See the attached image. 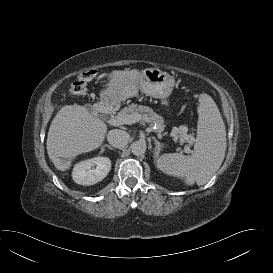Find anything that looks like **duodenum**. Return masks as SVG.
I'll list each match as a JSON object with an SVG mask.
<instances>
[{"label": "duodenum", "instance_id": "1", "mask_svg": "<svg viewBox=\"0 0 273 273\" xmlns=\"http://www.w3.org/2000/svg\"><path fill=\"white\" fill-rule=\"evenodd\" d=\"M98 109L101 110V111L106 112L108 110V106H106L104 104H99Z\"/></svg>", "mask_w": 273, "mask_h": 273}]
</instances>
